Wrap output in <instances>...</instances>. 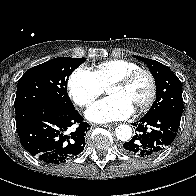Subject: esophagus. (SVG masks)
Segmentation results:
<instances>
[{
    "mask_svg": "<svg viewBox=\"0 0 196 196\" xmlns=\"http://www.w3.org/2000/svg\"><path fill=\"white\" fill-rule=\"evenodd\" d=\"M102 126L107 128V127H113V126H115V124H112V123L111 124H103Z\"/></svg>",
    "mask_w": 196,
    "mask_h": 196,
    "instance_id": "esophagus-1",
    "label": "esophagus"
}]
</instances>
